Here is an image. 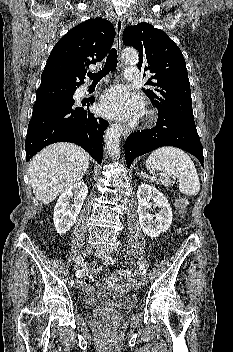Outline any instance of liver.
Wrapping results in <instances>:
<instances>
[{"instance_id":"obj_1","label":"liver","mask_w":233,"mask_h":352,"mask_svg":"<svg viewBox=\"0 0 233 352\" xmlns=\"http://www.w3.org/2000/svg\"><path fill=\"white\" fill-rule=\"evenodd\" d=\"M90 156L71 143H56L37 153L29 163L30 183L35 197L43 204L79 182L89 166Z\"/></svg>"}]
</instances>
